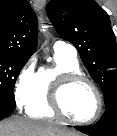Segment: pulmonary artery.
Masks as SVG:
<instances>
[{
  "mask_svg": "<svg viewBox=\"0 0 117 136\" xmlns=\"http://www.w3.org/2000/svg\"><path fill=\"white\" fill-rule=\"evenodd\" d=\"M53 48L56 53L63 54L73 59L77 58V49L71 43L59 40L54 43Z\"/></svg>",
  "mask_w": 117,
  "mask_h": 136,
  "instance_id": "pulmonary-artery-1",
  "label": "pulmonary artery"
}]
</instances>
